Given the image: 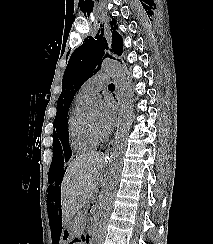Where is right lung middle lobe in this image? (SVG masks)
Wrapping results in <instances>:
<instances>
[{"label": "right lung middle lobe", "instance_id": "obj_1", "mask_svg": "<svg viewBox=\"0 0 213 244\" xmlns=\"http://www.w3.org/2000/svg\"><path fill=\"white\" fill-rule=\"evenodd\" d=\"M67 149L70 151L69 143L67 144ZM67 149L65 148L63 142L61 145L58 137L55 134H53V158L49 169V178L53 174L56 175L58 171L63 168L64 166V157L62 156L63 152L65 154V160L69 159V157L66 156Z\"/></svg>", "mask_w": 213, "mask_h": 244}]
</instances>
